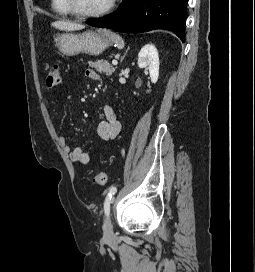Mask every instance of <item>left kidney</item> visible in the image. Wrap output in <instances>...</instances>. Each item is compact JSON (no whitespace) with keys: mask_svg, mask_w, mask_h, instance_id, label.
<instances>
[{"mask_svg":"<svg viewBox=\"0 0 255 272\" xmlns=\"http://www.w3.org/2000/svg\"><path fill=\"white\" fill-rule=\"evenodd\" d=\"M159 65V55L156 47L152 44L142 47L138 54V66L149 71L152 83L158 81Z\"/></svg>","mask_w":255,"mask_h":272,"instance_id":"1","label":"left kidney"}]
</instances>
